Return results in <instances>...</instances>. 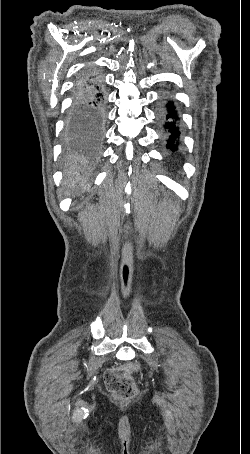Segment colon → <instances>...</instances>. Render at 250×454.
Segmentation results:
<instances>
[{"mask_svg":"<svg viewBox=\"0 0 250 454\" xmlns=\"http://www.w3.org/2000/svg\"><path fill=\"white\" fill-rule=\"evenodd\" d=\"M136 364H127L109 369L105 374V383L112 396L119 401L134 398L138 394L133 374Z\"/></svg>","mask_w":250,"mask_h":454,"instance_id":"obj_1","label":"colon"}]
</instances>
